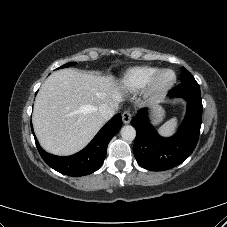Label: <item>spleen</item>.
I'll list each match as a JSON object with an SVG mask.
<instances>
[{"label": "spleen", "mask_w": 227, "mask_h": 227, "mask_svg": "<svg viewBox=\"0 0 227 227\" xmlns=\"http://www.w3.org/2000/svg\"><path fill=\"white\" fill-rule=\"evenodd\" d=\"M177 126V119L172 118L171 120L167 121L159 128V132L163 136H169L174 133Z\"/></svg>", "instance_id": "1"}]
</instances>
